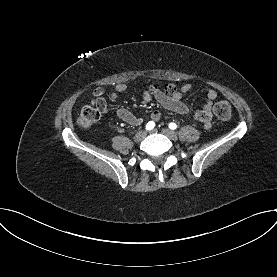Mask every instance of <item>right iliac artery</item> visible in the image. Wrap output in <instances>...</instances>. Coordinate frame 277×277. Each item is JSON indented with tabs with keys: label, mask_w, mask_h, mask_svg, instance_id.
Wrapping results in <instances>:
<instances>
[{
	"label": "right iliac artery",
	"mask_w": 277,
	"mask_h": 277,
	"mask_svg": "<svg viewBox=\"0 0 277 277\" xmlns=\"http://www.w3.org/2000/svg\"><path fill=\"white\" fill-rule=\"evenodd\" d=\"M154 126H155V123L153 121H150V122L147 123L146 129L151 130V129L154 128Z\"/></svg>",
	"instance_id": "1"
}]
</instances>
